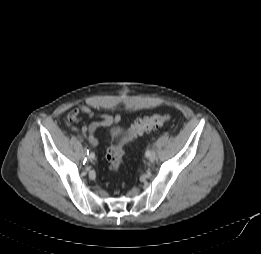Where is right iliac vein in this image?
Instances as JSON below:
<instances>
[{
    "label": "right iliac vein",
    "mask_w": 261,
    "mask_h": 254,
    "mask_svg": "<svg viewBox=\"0 0 261 254\" xmlns=\"http://www.w3.org/2000/svg\"><path fill=\"white\" fill-rule=\"evenodd\" d=\"M86 155V153H85V149H83V156H85Z\"/></svg>",
    "instance_id": "63e3f726"
}]
</instances>
